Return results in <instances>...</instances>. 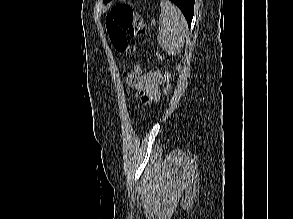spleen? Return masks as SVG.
I'll list each match as a JSON object with an SVG mask.
<instances>
[{"mask_svg":"<svg viewBox=\"0 0 293 219\" xmlns=\"http://www.w3.org/2000/svg\"><path fill=\"white\" fill-rule=\"evenodd\" d=\"M161 28L157 36L160 47L171 55L179 54L187 37V22L182 12L169 0H161Z\"/></svg>","mask_w":293,"mask_h":219,"instance_id":"spleen-1","label":"spleen"}]
</instances>
